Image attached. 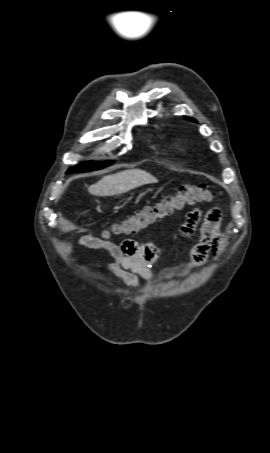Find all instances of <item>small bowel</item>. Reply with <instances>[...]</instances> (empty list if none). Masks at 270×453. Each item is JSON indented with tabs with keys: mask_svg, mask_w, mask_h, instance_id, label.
<instances>
[{
	"mask_svg": "<svg viewBox=\"0 0 270 453\" xmlns=\"http://www.w3.org/2000/svg\"><path fill=\"white\" fill-rule=\"evenodd\" d=\"M221 221L222 211L218 207L205 213L200 209H194L186 215L185 222L178 230V237L182 240H189L198 230L200 233L198 243L191 250V267L203 266L209 251L218 250L222 240ZM77 245L108 253L113 262L107 266L106 271L117 275L135 290H139L140 280L151 281L154 279L153 266L162 253V250L154 244H139L132 239H125L116 245L92 235L81 236Z\"/></svg>",
	"mask_w": 270,
	"mask_h": 453,
	"instance_id": "1",
	"label": "small bowel"
}]
</instances>
